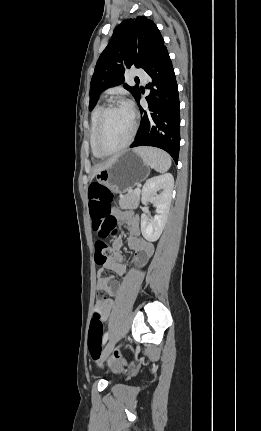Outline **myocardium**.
I'll list each match as a JSON object with an SVG mask.
<instances>
[{
	"mask_svg": "<svg viewBox=\"0 0 261 431\" xmlns=\"http://www.w3.org/2000/svg\"><path fill=\"white\" fill-rule=\"evenodd\" d=\"M117 106L127 107L126 104H124L121 101H113L110 104H108L107 106H105L99 115L96 131H95V146H96L97 151L103 156H111V155L117 154V153L123 151L124 149H126L131 144V142H132V140L136 134V131H137L136 113L134 112L133 109L128 108L131 112V115H132V128H131L130 134H129L128 138L126 139V141L121 146H119L118 148L113 149V150H106L102 146V144H101V133H102L105 117L109 111H111L112 109H114Z\"/></svg>",
	"mask_w": 261,
	"mask_h": 431,
	"instance_id": "myocardium-1",
	"label": "myocardium"
}]
</instances>
